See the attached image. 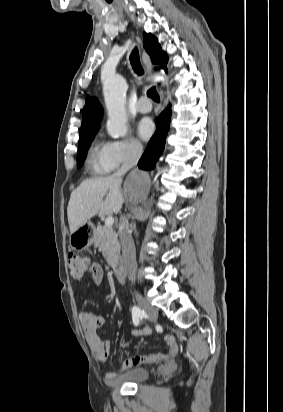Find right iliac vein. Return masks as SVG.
<instances>
[{"mask_svg":"<svg viewBox=\"0 0 283 412\" xmlns=\"http://www.w3.org/2000/svg\"><path fill=\"white\" fill-rule=\"evenodd\" d=\"M135 298L140 305V307L146 312V314L149 316L151 322L156 323L158 320V312L157 310L150 306L144 299L143 297L135 292Z\"/></svg>","mask_w":283,"mask_h":412,"instance_id":"right-iliac-vein-1","label":"right iliac vein"}]
</instances>
